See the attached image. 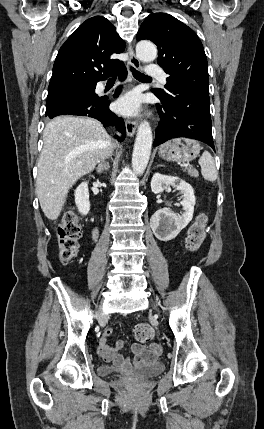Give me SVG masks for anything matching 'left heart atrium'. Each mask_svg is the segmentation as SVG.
I'll list each match as a JSON object with an SVG mask.
<instances>
[{
  "label": "left heart atrium",
  "mask_w": 264,
  "mask_h": 429,
  "mask_svg": "<svg viewBox=\"0 0 264 429\" xmlns=\"http://www.w3.org/2000/svg\"><path fill=\"white\" fill-rule=\"evenodd\" d=\"M141 105L140 96L137 93H128L116 102V110L123 115H135Z\"/></svg>",
  "instance_id": "obj_1"
}]
</instances>
